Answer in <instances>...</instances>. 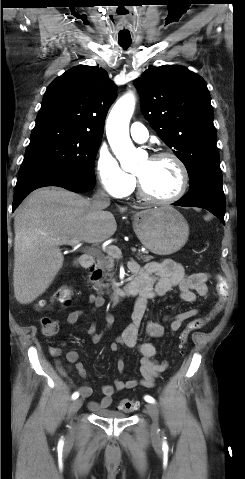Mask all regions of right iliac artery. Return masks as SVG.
I'll return each instance as SVG.
<instances>
[{
	"instance_id": "1",
	"label": "right iliac artery",
	"mask_w": 245,
	"mask_h": 479,
	"mask_svg": "<svg viewBox=\"0 0 245 479\" xmlns=\"http://www.w3.org/2000/svg\"><path fill=\"white\" fill-rule=\"evenodd\" d=\"M79 397V393L78 392H74L73 395H72V399H77Z\"/></svg>"
}]
</instances>
